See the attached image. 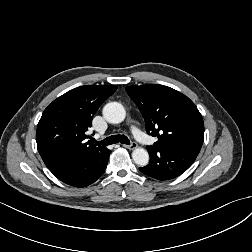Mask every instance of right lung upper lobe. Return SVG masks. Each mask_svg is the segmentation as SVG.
Instances as JSON below:
<instances>
[{
	"label": "right lung upper lobe",
	"mask_w": 252,
	"mask_h": 252,
	"mask_svg": "<svg viewBox=\"0 0 252 252\" xmlns=\"http://www.w3.org/2000/svg\"><path fill=\"white\" fill-rule=\"evenodd\" d=\"M116 89L114 85L81 86L58 97L44 110L37 125L36 142L48 168L80 154L107 151L105 146L85 139L93 115Z\"/></svg>",
	"instance_id": "1"
}]
</instances>
